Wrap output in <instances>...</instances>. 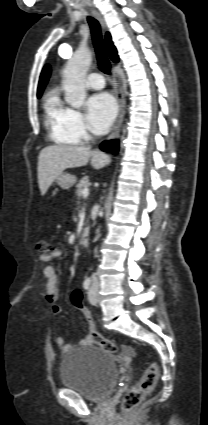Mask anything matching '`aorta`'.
I'll return each instance as SVG.
<instances>
[{
    "label": "aorta",
    "mask_w": 208,
    "mask_h": 425,
    "mask_svg": "<svg viewBox=\"0 0 208 425\" xmlns=\"http://www.w3.org/2000/svg\"><path fill=\"white\" fill-rule=\"evenodd\" d=\"M92 62L87 50H77L68 61L63 72L65 100L73 108H80L86 98L85 77Z\"/></svg>",
    "instance_id": "762f6f07"
}]
</instances>
